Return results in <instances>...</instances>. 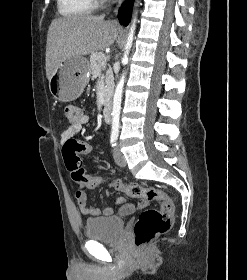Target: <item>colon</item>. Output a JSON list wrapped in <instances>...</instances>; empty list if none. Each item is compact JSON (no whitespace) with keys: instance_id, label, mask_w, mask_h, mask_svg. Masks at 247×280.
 I'll use <instances>...</instances> for the list:
<instances>
[{"instance_id":"5ec220e1","label":"colon","mask_w":247,"mask_h":280,"mask_svg":"<svg viewBox=\"0 0 247 280\" xmlns=\"http://www.w3.org/2000/svg\"><path fill=\"white\" fill-rule=\"evenodd\" d=\"M63 113L70 123L76 122L80 117L79 109L74 105L65 106ZM92 151V144L75 139L64 144L63 158L72 179L86 191H93L95 187H111L124 191L129 197L142 198L144 202H160L159 208L146 209L139 215L134 225V240L137 246H144L166 233L172 226L174 212V204L168 193L159 188L143 187L134 182H110L108 176H87L81 164L80 154H88Z\"/></svg>"}]
</instances>
